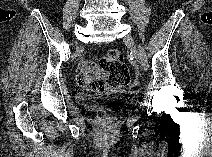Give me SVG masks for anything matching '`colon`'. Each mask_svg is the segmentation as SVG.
<instances>
[{
	"mask_svg": "<svg viewBox=\"0 0 212 157\" xmlns=\"http://www.w3.org/2000/svg\"><path fill=\"white\" fill-rule=\"evenodd\" d=\"M81 88L86 91L118 89L131 82V75L124 61L123 53L110 49L99 61H85L78 78Z\"/></svg>",
	"mask_w": 212,
	"mask_h": 157,
	"instance_id": "1",
	"label": "colon"
}]
</instances>
